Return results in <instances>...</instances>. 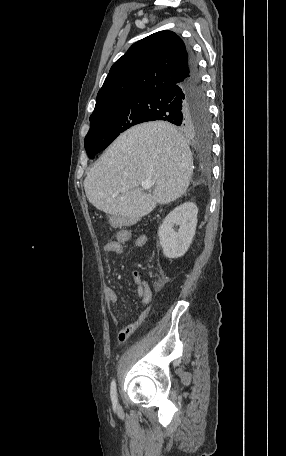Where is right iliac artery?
Masks as SVG:
<instances>
[{
	"mask_svg": "<svg viewBox=\"0 0 286 456\" xmlns=\"http://www.w3.org/2000/svg\"><path fill=\"white\" fill-rule=\"evenodd\" d=\"M110 395H111V400H112L113 405L116 406L117 405V390H116L115 380H113L111 383Z\"/></svg>",
	"mask_w": 286,
	"mask_h": 456,
	"instance_id": "1",
	"label": "right iliac artery"
}]
</instances>
